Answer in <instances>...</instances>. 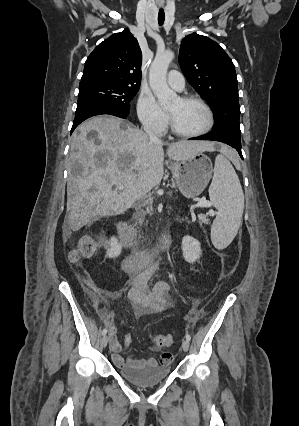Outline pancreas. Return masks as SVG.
Returning a JSON list of instances; mask_svg holds the SVG:
<instances>
[{"label": "pancreas", "instance_id": "cf45deb5", "mask_svg": "<svg viewBox=\"0 0 299 426\" xmlns=\"http://www.w3.org/2000/svg\"><path fill=\"white\" fill-rule=\"evenodd\" d=\"M146 214H151V212H150V210L149 209H147L146 211H143V213L142 214H138V215H136V221H135V226L136 225H142L143 224V222H144V216L146 215ZM200 222H203V223H207V220H206V218L205 217H200Z\"/></svg>", "mask_w": 299, "mask_h": 426}]
</instances>
